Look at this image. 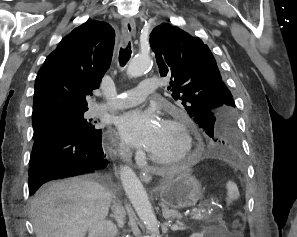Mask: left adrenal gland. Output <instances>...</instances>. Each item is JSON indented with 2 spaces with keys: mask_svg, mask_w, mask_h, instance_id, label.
<instances>
[{
  "mask_svg": "<svg viewBox=\"0 0 297 237\" xmlns=\"http://www.w3.org/2000/svg\"><path fill=\"white\" fill-rule=\"evenodd\" d=\"M162 214L166 220L178 218L181 219L182 215L177 210H169L168 207L162 206Z\"/></svg>",
  "mask_w": 297,
  "mask_h": 237,
  "instance_id": "a2214340",
  "label": "left adrenal gland"
}]
</instances>
